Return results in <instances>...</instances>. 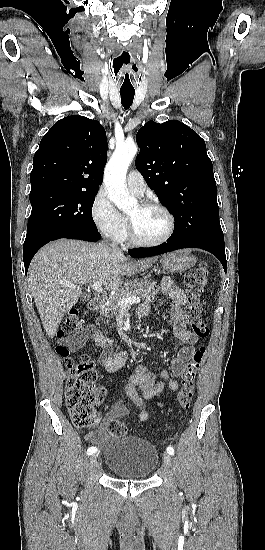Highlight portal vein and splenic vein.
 Instances as JSON below:
<instances>
[{"label":"portal vein and splenic vein","instance_id":"1","mask_svg":"<svg viewBox=\"0 0 265 550\" xmlns=\"http://www.w3.org/2000/svg\"><path fill=\"white\" fill-rule=\"evenodd\" d=\"M101 286H102V282L100 280L95 281L92 285L91 284L89 285V287H91L94 291L98 293H103V289ZM140 301L141 299L138 296H129V297L120 299L119 304L122 307H129L132 304L140 303Z\"/></svg>","mask_w":265,"mask_h":550}]
</instances>
